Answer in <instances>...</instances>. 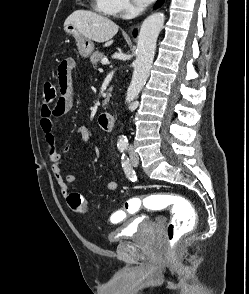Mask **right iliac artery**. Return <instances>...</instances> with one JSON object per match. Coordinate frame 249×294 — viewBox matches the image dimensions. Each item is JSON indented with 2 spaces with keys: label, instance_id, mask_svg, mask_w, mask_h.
Segmentation results:
<instances>
[{
  "label": "right iliac artery",
  "instance_id": "1",
  "mask_svg": "<svg viewBox=\"0 0 249 294\" xmlns=\"http://www.w3.org/2000/svg\"><path fill=\"white\" fill-rule=\"evenodd\" d=\"M118 149L120 150V152H124L127 149V145H120L118 146Z\"/></svg>",
  "mask_w": 249,
  "mask_h": 294
}]
</instances>
